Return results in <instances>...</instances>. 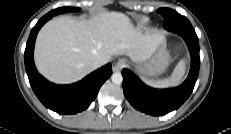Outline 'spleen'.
Returning <instances> with one entry per match:
<instances>
[{"label":"spleen","instance_id":"obj_1","mask_svg":"<svg viewBox=\"0 0 231 134\" xmlns=\"http://www.w3.org/2000/svg\"><path fill=\"white\" fill-rule=\"evenodd\" d=\"M186 70V61L184 59L180 60L176 65L172 75L169 78H165L162 80H147L146 83L150 86L157 88H166L171 86L178 85L185 73Z\"/></svg>","mask_w":231,"mask_h":134}]
</instances>
